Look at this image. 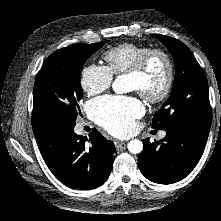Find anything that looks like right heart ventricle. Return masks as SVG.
<instances>
[{
    "label": "right heart ventricle",
    "mask_w": 221,
    "mask_h": 221,
    "mask_svg": "<svg viewBox=\"0 0 221 221\" xmlns=\"http://www.w3.org/2000/svg\"><path fill=\"white\" fill-rule=\"evenodd\" d=\"M147 49L148 46L132 43L116 45L103 53L105 67L112 76L125 74Z\"/></svg>",
    "instance_id": "obj_1"
}]
</instances>
